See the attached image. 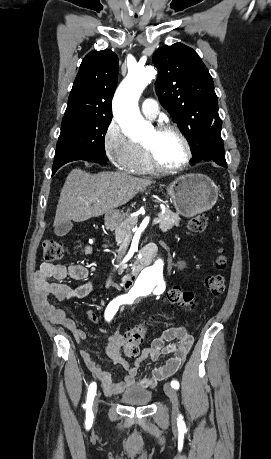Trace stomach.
Returning a JSON list of instances; mask_svg holds the SVG:
<instances>
[{"mask_svg": "<svg viewBox=\"0 0 271 459\" xmlns=\"http://www.w3.org/2000/svg\"><path fill=\"white\" fill-rule=\"evenodd\" d=\"M166 192L174 204L177 214L185 218H193L211 210L218 200V188L211 178L204 174H186L180 176L166 186ZM125 214L109 212L106 214L107 222H122Z\"/></svg>", "mask_w": 271, "mask_h": 459, "instance_id": "1", "label": "stomach"}]
</instances>
